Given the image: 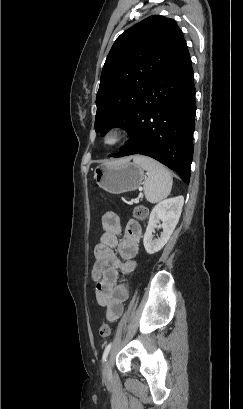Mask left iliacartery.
Listing matches in <instances>:
<instances>
[{"instance_id": "44dca946", "label": "left iliac artery", "mask_w": 243, "mask_h": 409, "mask_svg": "<svg viewBox=\"0 0 243 409\" xmlns=\"http://www.w3.org/2000/svg\"><path fill=\"white\" fill-rule=\"evenodd\" d=\"M111 346H112V342L109 343V344L106 346V348H105V350H104V353H103V356H102V362L106 361V358H107V356H108V354H109V352H110Z\"/></svg>"}]
</instances>
